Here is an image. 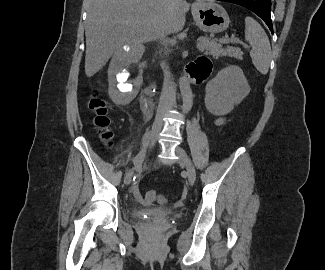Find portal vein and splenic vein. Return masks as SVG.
<instances>
[{"label": "portal vein and splenic vein", "instance_id": "18ae733b", "mask_svg": "<svg viewBox=\"0 0 325 270\" xmlns=\"http://www.w3.org/2000/svg\"><path fill=\"white\" fill-rule=\"evenodd\" d=\"M221 42L222 43H231V44H239V43H241V41L238 38L222 39Z\"/></svg>", "mask_w": 325, "mask_h": 270}]
</instances>
